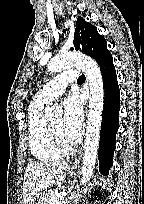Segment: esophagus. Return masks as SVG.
Returning <instances> with one entry per match:
<instances>
[{
  "label": "esophagus",
  "mask_w": 144,
  "mask_h": 204,
  "mask_svg": "<svg viewBox=\"0 0 144 204\" xmlns=\"http://www.w3.org/2000/svg\"><path fill=\"white\" fill-rule=\"evenodd\" d=\"M82 157V152L80 151L77 155V157L75 158V160L73 161L72 165H71V168H77L78 165H79V162H80V159Z\"/></svg>",
  "instance_id": "esophagus-1"
}]
</instances>
